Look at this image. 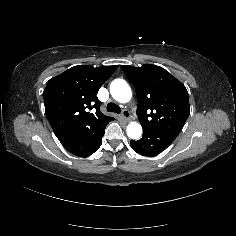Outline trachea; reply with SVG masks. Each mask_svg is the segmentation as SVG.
I'll return each mask as SVG.
<instances>
[{
    "mask_svg": "<svg viewBox=\"0 0 236 236\" xmlns=\"http://www.w3.org/2000/svg\"><path fill=\"white\" fill-rule=\"evenodd\" d=\"M107 111L119 114L121 113V108L117 104L110 102L107 105Z\"/></svg>",
    "mask_w": 236,
    "mask_h": 236,
    "instance_id": "trachea-1",
    "label": "trachea"
}]
</instances>
